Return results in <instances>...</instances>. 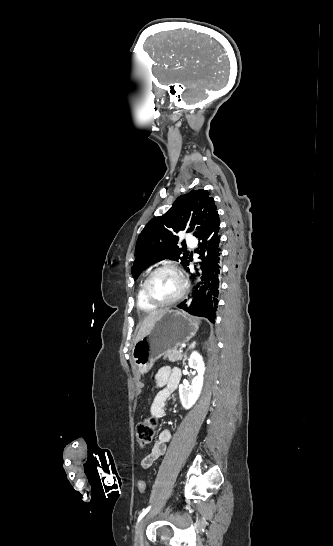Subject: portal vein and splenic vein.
I'll return each mask as SVG.
<instances>
[{
	"mask_svg": "<svg viewBox=\"0 0 333 546\" xmlns=\"http://www.w3.org/2000/svg\"><path fill=\"white\" fill-rule=\"evenodd\" d=\"M179 352H180V353H183V349H179Z\"/></svg>",
	"mask_w": 333,
	"mask_h": 546,
	"instance_id": "obj_1",
	"label": "portal vein and splenic vein"
}]
</instances>
